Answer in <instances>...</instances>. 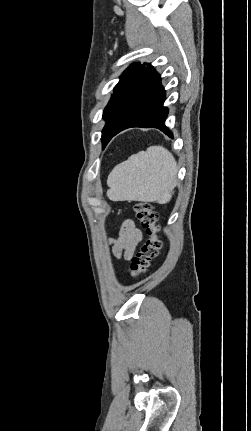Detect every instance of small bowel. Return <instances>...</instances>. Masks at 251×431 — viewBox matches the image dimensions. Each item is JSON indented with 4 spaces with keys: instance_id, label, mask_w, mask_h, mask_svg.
I'll return each instance as SVG.
<instances>
[{
    "instance_id": "1",
    "label": "small bowel",
    "mask_w": 251,
    "mask_h": 431,
    "mask_svg": "<svg viewBox=\"0 0 251 431\" xmlns=\"http://www.w3.org/2000/svg\"><path fill=\"white\" fill-rule=\"evenodd\" d=\"M142 240L141 231L132 220H126L120 229L119 236L112 241V251L116 258L131 259L136 246Z\"/></svg>"
}]
</instances>
